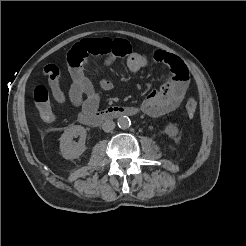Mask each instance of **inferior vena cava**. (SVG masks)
<instances>
[{
    "instance_id": "obj_1",
    "label": "inferior vena cava",
    "mask_w": 246,
    "mask_h": 246,
    "mask_svg": "<svg viewBox=\"0 0 246 246\" xmlns=\"http://www.w3.org/2000/svg\"><path fill=\"white\" fill-rule=\"evenodd\" d=\"M115 128V123L111 120H107L103 123L102 125V129L105 131V132H112Z\"/></svg>"
}]
</instances>
